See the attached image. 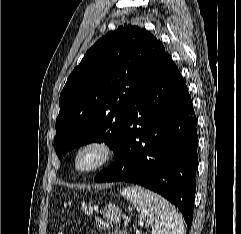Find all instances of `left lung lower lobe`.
Instances as JSON below:
<instances>
[{"instance_id":"obj_1","label":"left lung lower lobe","mask_w":241,"mask_h":234,"mask_svg":"<svg viewBox=\"0 0 241 234\" xmlns=\"http://www.w3.org/2000/svg\"><path fill=\"white\" fill-rule=\"evenodd\" d=\"M197 120L187 86L165 52L131 103L114 162L96 182L127 181L159 193L190 228L196 192Z\"/></svg>"}]
</instances>
